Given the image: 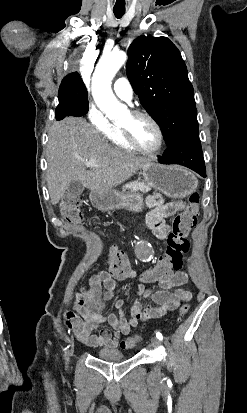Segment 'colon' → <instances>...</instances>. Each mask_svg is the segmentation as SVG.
I'll use <instances>...</instances> for the list:
<instances>
[{
	"label": "colon",
	"mask_w": 247,
	"mask_h": 413,
	"mask_svg": "<svg viewBox=\"0 0 247 413\" xmlns=\"http://www.w3.org/2000/svg\"><path fill=\"white\" fill-rule=\"evenodd\" d=\"M199 194L192 193L188 199V207L185 211L177 214L172 222L173 230L166 235L168 248L164 253V258L159 260L152 266L147 267V272L144 275H137L134 272V264L129 263L126 257V252L119 249L115 244H107L104 247V260L114 269L113 273L116 277L121 278L124 275L130 274L136 276L141 282L147 283L154 278L164 276L168 273L171 265H176L181 262L180 257L188 251V240L190 228L197 224ZM83 204L80 198L76 196L66 195L60 202V211L64 220L68 223L78 224L83 220L82 213ZM190 304L185 303L180 305L177 318L181 319L190 311ZM140 342L139 336H133L126 340H122L120 347L127 349Z\"/></svg>",
	"instance_id": "1"
}]
</instances>
